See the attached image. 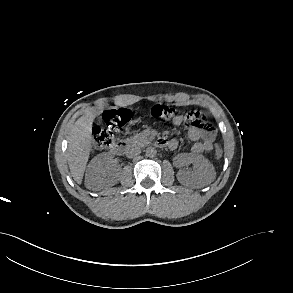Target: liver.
Returning <instances> with one entry per match:
<instances>
[{
	"mask_svg": "<svg viewBox=\"0 0 293 293\" xmlns=\"http://www.w3.org/2000/svg\"><path fill=\"white\" fill-rule=\"evenodd\" d=\"M95 114L82 115L72 126L69 133L67 160L73 179L80 184L91 152L92 123Z\"/></svg>",
	"mask_w": 293,
	"mask_h": 293,
	"instance_id": "liver-1",
	"label": "liver"
}]
</instances>
